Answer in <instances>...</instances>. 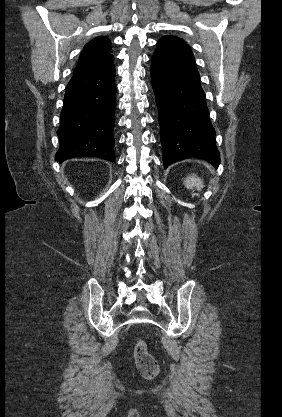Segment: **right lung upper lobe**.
I'll use <instances>...</instances> for the list:
<instances>
[{
    "label": "right lung upper lobe",
    "instance_id": "right-lung-upper-lobe-1",
    "mask_svg": "<svg viewBox=\"0 0 282 417\" xmlns=\"http://www.w3.org/2000/svg\"><path fill=\"white\" fill-rule=\"evenodd\" d=\"M110 45V40L103 36L88 42L81 52L74 74L113 61L114 56L111 54Z\"/></svg>",
    "mask_w": 282,
    "mask_h": 417
}]
</instances>
